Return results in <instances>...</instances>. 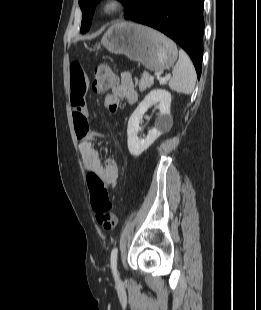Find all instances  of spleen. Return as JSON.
<instances>
[{
  "label": "spleen",
  "instance_id": "3e777b00",
  "mask_svg": "<svg viewBox=\"0 0 261 310\" xmlns=\"http://www.w3.org/2000/svg\"><path fill=\"white\" fill-rule=\"evenodd\" d=\"M196 78V71L190 58L183 50H180L179 60L173 68L172 78L168 83L170 89L178 93L191 94Z\"/></svg>",
  "mask_w": 261,
  "mask_h": 310
}]
</instances>
